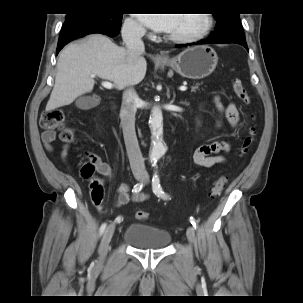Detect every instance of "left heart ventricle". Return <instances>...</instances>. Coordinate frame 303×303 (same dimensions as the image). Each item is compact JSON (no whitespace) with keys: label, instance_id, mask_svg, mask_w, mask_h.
Instances as JSON below:
<instances>
[{"label":"left heart ventricle","instance_id":"b2bd125f","mask_svg":"<svg viewBox=\"0 0 303 303\" xmlns=\"http://www.w3.org/2000/svg\"><path fill=\"white\" fill-rule=\"evenodd\" d=\"M204 16L201 14H176L171 34H189L200 30L204 26Z\"/></svg>","mask_w":303,"mask_h":303}]
</instances>
